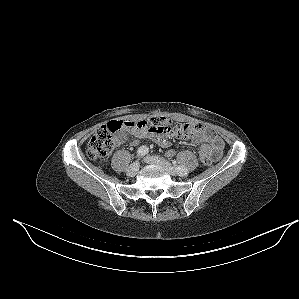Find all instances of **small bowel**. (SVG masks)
<instances>
[{"mask_svg": "<svg viewBox=\"0 0 299 299\" xmlns=\"http://www.w3.org/2000/svg\"><path fill=\"white\" fill-rule=\"evenodd\" d=\"M129 130L136 138L150 137L156 139L162 147H167L169 145V142L165 138L166 136H170L169 134L159 133L148 129L129 128ZM124 140L125 137L121 135L117 139L116 144H120ZM190 140L194 144H200L204 146V149L207 155L209 156L211 162L218 160L224 149V142L222 138L202 125H200L199 129L190 135ZM136 143L137 141L134 140L133 144ZM173 155V151L168 152V156Z\"/></svg>", "mask_w": 299, "mask_h": 299, "instance_id": "c3829d8e", "label": "small bowel"}]
</instances>
